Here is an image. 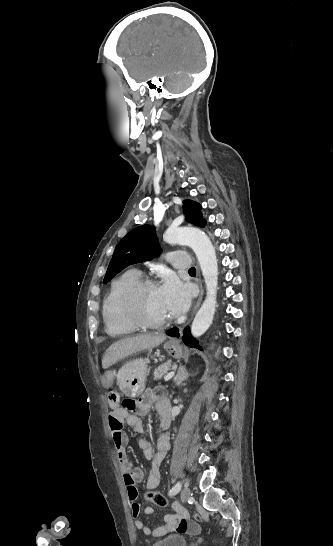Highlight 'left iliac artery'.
Listing matches in <instances>:
<instances>
[{"mask_svg":"<svg viewBox=\"0 0 333 546\" xmlns=\"http://www.w3.org/2000/svg\"><path fill=\"white\" fill-rule=\"evenodd\" d=\"M181 482H177L173 488L168 492L170 496L176 495L181 489Z\"/></svg>","mask_w":333,"mask_h":546,"instance_id":"1","label":"left iliac artery"}]
</instances>
